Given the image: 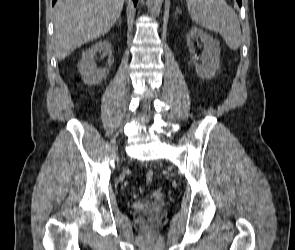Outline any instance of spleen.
Segmentation results:
<instances>
[{
	"instance_id": "spleen-1",
	"label": "spleen",
	"mask_w": 295,
	"mask_h": 250,
	"mask_svg": "<svg viewBox=\"0 0 295 250\" xmlns=\"http://www.w3.org/2000/svg\"><path fill=\"white\" fill-rule=\"evenodd\" d=\"M191 19L199 26L218 32L231 50L241 45L237 14L225 0H186Z\"/></svg>"
}]
</instances>
